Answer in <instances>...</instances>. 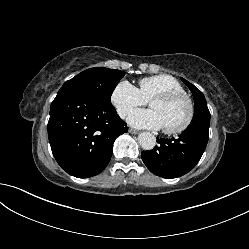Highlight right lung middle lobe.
<instances>
[{
	"label": "right lung middle lobe",
	"mask_w": 249,
	"mask_h": 249,
	"mask_svg": "<svg viewBox=\"0 0 249 249\" xmlns=\"http://www.w3.org/2000/svg\"><path fill=\"white\" fill-rule=\"evenodd\" d=\"M124 75L120 70L91 68L65 82L60 90L79 91L105 105H112L111 95Z\"/></svg>",
	"instance_id": "1"
}]
</instances>
